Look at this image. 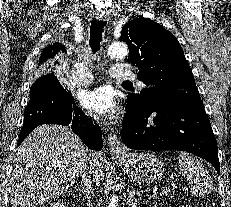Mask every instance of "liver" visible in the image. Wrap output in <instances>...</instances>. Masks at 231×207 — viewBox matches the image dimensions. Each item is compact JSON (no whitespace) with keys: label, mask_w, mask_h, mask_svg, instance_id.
<instances>
[{"label":"liver","mask_w":231,"mask_h":207,"mask_svg":"<svg viewBox=\"0 0 231 207\" xmlns=\"http://www.w3.org/2000/svg\"><path fill=\"white\" fill-rule=\"evenodd\" d=\"M70 128L42 124L21 143L13 157L8 191L12 207L37 204L67 191L89 161L97 185L103 172L99 157L92 153Z\"/></svg>","instance_id":"liver-1"}]
</instances>
